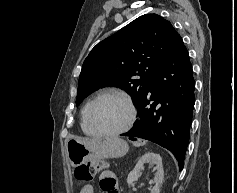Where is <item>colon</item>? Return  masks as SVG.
Instances as JSON below:
<instances>
[{
    "label": "colon",
    "mask_w": 237,
    "mask_h": 193,
    "mask_svg": "<svg viewBox=\"0 0 237 193\" xmlns=\"http://www.w3.org/2000/svg\"><path fill=\"white\" fill-rule=\"evenodd\" d=\"M106 167L104 161H93L88 162L76 167L74 175L79 184H88L90 183L94 176Z\"/></svg>",
    "instance_id": "obj_1"
}]
</instances>
